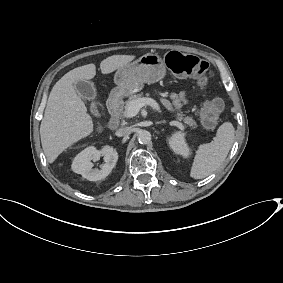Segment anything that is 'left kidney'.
I'll use <instances>...</instances> for the list:
<instances>
[{
  "instance_id": "obj_1",
  "label": "left kidney",
  "mask_w": 283,
  "mask_h": 283,
  "mask_svg": "<svg viewBox=\"0 0 283 283\" xmlns=\"http://www.w3.org/2000/svg\"><path fill=\"white\" fill-rule=\"evenodd\" d=\"M170 145L175 152L182 154L183 156L189 155V150L180 134H175L173 136L172 140L170 141Z\"/></svg>"
}]
</instances>
